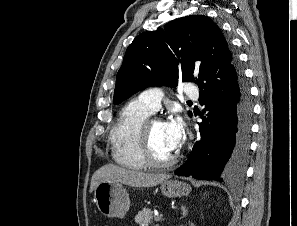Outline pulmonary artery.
I'll return each mask as SVG.
<instances>
[{
    "label": "pulmonary artery",
    "mask_w": 297,
    "mask_h": 226,
    "mask_svg": "<svg viewBox=\"0 0 297 226\" xmlns=\"http://www.w3.org/2000/svg\"><path fill=\"white\" fill-rule=\"evenodd\" d=\"M185 93L187 97L192 99H196L199 96V90L195 86H188ZM162 96L163 93L160 89L149 88L142 91L138 99L153 113L159 108Z\"/></svg>",
    "instance_id": "obj_1"
}]
</instances>
